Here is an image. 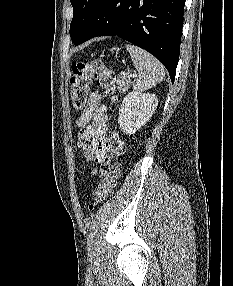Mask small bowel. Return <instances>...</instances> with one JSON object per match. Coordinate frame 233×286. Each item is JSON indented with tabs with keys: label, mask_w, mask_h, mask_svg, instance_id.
<instances>
[{
	"label": "small bowel",
	"mask_w": 233,
	"mask_h": 286,
	"mask_svg": "<svg viewBox=\"0 0 233 286\" xmlns=\"http://www.w3.org/2000/svg\"><path fill=\"white\" fill-rule=\"evenodd\" d=\"M107 120L106 107L102 105L101 93L95 90L90 94L77 120V125L81 128L83 154L87 161L100 164L107 154L105 148L108 133Z\"/></svg>",
	"instance_id": "1"
}]
</instances>
